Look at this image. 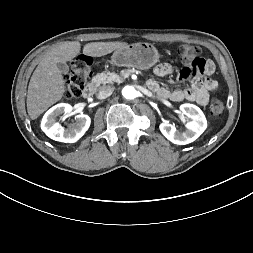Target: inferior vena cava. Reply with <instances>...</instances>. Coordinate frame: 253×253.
I'll use <instances>...</instances> for the list:
<instances>
[{
  "instance_id": "obj_1",
  "label": "inferior vena cava",
  "mask_w": 253,
  "mask_h": 253,
  "mask_svg": "<svg viewBox=\"0 0 253 253\" xmlns=\"http://www.w3.org/2000/svg\"><path fill=\"white\" fill-rule=\"evenodd\" d=\"M113 91H114L113 86H101L99 88L98 98L105 99V98L109 97L110 95H112Z\"/></svg>"
}]
</instances>
